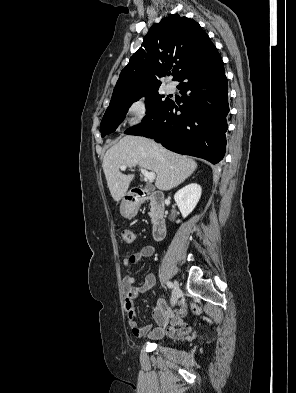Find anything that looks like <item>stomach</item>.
<instances>
[{"label":"stomach","mask_w":296,"mask_h":393,"mask_svg":"<svg viewBox=\"0 0 296 393\" xmlns=\"http://www.w3.org/2000/svg\"><path fill=\"white\" fill-rule=\"evenodd\" d=\"M120 213L125 218H131L134 216L135 210L130 203H128L127 201H123L120 206Z\"/></svg>","instance_id":"obj_1"}]
</instances>
